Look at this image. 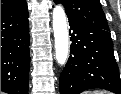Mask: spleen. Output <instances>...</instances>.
Here are the masks:
<instances>
[{"instance_id": "3e777b00", "label": "spleen", "mask_w": 121, "mask_h": 94, "mask_svg": "<svg viewBox=\"0 0 121 94\" xmlns=\"http://www.w3.org/2000/svg\"><path fill=\"white\" fill-rule=\"evenodd\" d=\"M92 94H107L105 91H94Z\"/></svg>"}]
</instances>
